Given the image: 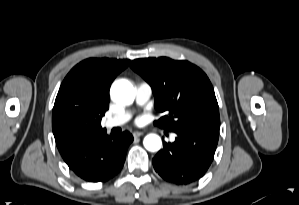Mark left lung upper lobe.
<instances>
[{
    "label": "left lung upper lobe",
    "mask_w": 299,
    "mask_h": 205,
    "mask_svg": "<svg viewBox=\"0 0 299 205\" xmlns=\"http://www.w3.org/2000/svg\"><path fill=\"white\" fill-rule=\"evenodd\" d=\"M131 68L150 84L156 109L165 114L155 124L168 131L220 125L213 86L197 66L160 57L136 59Z\"/></svg>",
    "instance_id": "5c2ea615"
}]
</instances>
